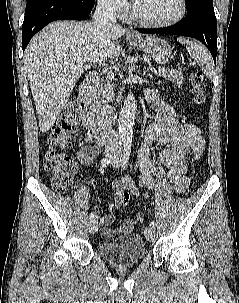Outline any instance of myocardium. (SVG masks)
Masks as SVG:
<instances>
[{
    "label": "myocardium",
    "mask_w": 239,
    "mask_h": 303,
    "mask_svg": "<svg viewBox=\"0 0 239 303\" xmlns=\"http://www.w3.org/2000/svg\"><path fill=\"white\" fill-rule=\"evenodd\" d=\"M180 8L179 11L176 15H174L173 17H171L170 19L167 20H162V21H154V20H149L146 19L144 17H142L141 15H139V13L137 12L135 5L133 4L131 7V15L132 18L134 20H136L138 23L145 25V26H149V27H168V26H172L176 23H178L179 21H181L187 11V2L186 0H178Z\"/></svg>",
    "instance_id": "f54148a6"
}]
</instances>
